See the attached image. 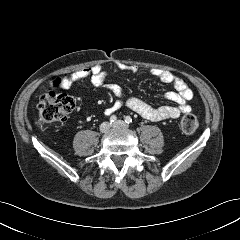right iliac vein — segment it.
<instances>
[{"mask_svg":"<svg viewBox=\"0 0 240 240\" xmlns=\"http://www.w3.org/2000/svg\"><path fill=\"white\" fill-rule=\"evenodd\" d=\"M110 127H111L110 123L104 122V123H102V124L100 125V131H101L102 133H106V132H108V131L110 130Z\"/></svg>","mask_w":240,"mask_h":240,"instance_id":"right-iliac-vein-1","label":"right iliac vein"}]
</instances>
